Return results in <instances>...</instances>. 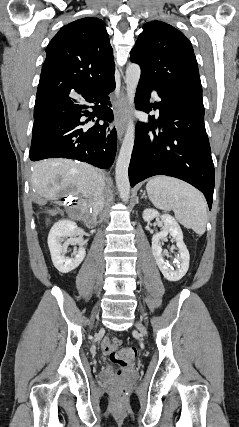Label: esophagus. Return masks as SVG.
Here are the masks:
<instances>
[{
  "label": "esophagus",
  "mask_w": 239,
  "mask_h": 427,
  "mask_svg": "<svg viewBox=\"0 0 239 427\" xmlns=\"http://www.w3.org/2000/svg\"><path fill=\"white\" fill-rule=\"evenodd\" d=\"M127 105L126 88L121 87L119 98L115 104V127L118 135V140L121 141L125 132V108Z\"/></svg>",
  "instance_id": "obj_1"
}]
</instances>
